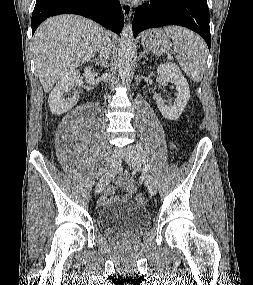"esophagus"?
<instances>
[{"label":"esophagus","instance_id":"1","mask_svg":"<svg viewBox=\"0 0 253 285\" xmlns=\"http://www.w3.org/2000/svg\"><path fill=\"white\" fill-rule=\"evenodd\" d=\"M122 10H123L124 17L127 20H129L131 15H132V7H131V5L126 3V2H123L122 3Z\"/></svg>","mask_w":253,"mask_h":285}]
</instances>
